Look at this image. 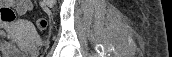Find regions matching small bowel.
<instances>
[{"label": "small bowel", "instance_id": "obj_1", "mask_svg": "<svg viewBox=\"0 0 172 57\" xmlns=\"http://www.w3.org/2000/svg\"><path fill=\"white\" fill-rule=\"evenodd\" d=\"M14 4L17 5L20 14L24 13L26 10L30 8V1L28 0L14 1ZM0 35L4 36V32L0 31ZM12 49H13V44L11 42H5L1 47V50L3 52H8L11 51Z\"/></svg>", "mask_w": 172, "mask_h": 57}]
</instances>
